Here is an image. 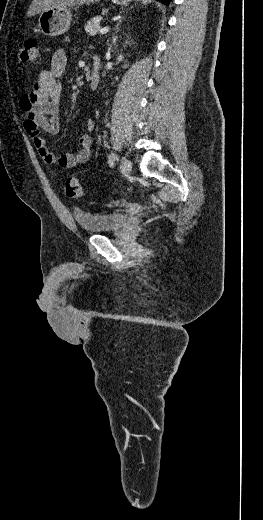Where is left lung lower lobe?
<instances>
[{
    "mask_svg": "<svg viewBox=\"0 0 263 520\" xmlns=\"http://www.w3.org/2000/svg\"><path fill=\"white\" fill-rule=\"evenodd\" d=\"M158 1H161L162 3L168 5L171 0H158Z\"/></svg>",
    "mask_w": 263,
    "mask_h": 520,
    "instance_id": "obj_1",
    "label": "left lung lower lobe"
}]
</instances>
